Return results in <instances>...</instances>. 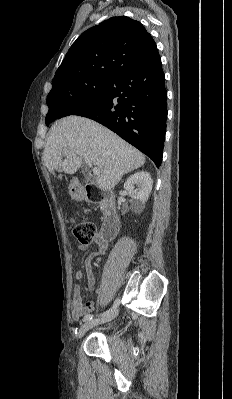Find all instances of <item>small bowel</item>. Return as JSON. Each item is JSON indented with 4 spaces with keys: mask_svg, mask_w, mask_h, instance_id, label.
I'll list each match as a JSON object with an SVG mask.
<instances>
[{
    "mask_svg": "<svg viewBox=\"0 0 232 399\" xmlns=\"http://www.w3.org/2000/svg\"><path fill=\"white\" fill-rule=\"evenodd\" d=\"M110 246L109 242H100L98 244V250L96 252H92L88 255L87 260L88 261H92L95 260L97 258H100L104 252L106 251V249H108ZM80 249L81 250H87L89 247V243L88 242H81L80 243ZM83 264H80V268L77 271V276L79 278H83L84 277V269H83ZM87 288L88 290H91L94 284V278H93V274L90 270V268L88 267L87 270ZM94 306L92 303L87 302V303H83L82 302V297H81V293H80V288L78 285L74 286L73 289V294L70 300V308H69V317H70V321L75 324L78 327H82V324H80L79 322V318L84 315L85 313L93 310ZM121 327L125 328V329H135L138 327V323L137 322H133V321H128V322H124L121 324ZM94 328H97L99 330H102L103 327H98V326H94Z\"/></svg>",
    "mask_w": 232,
    "mask_h": 399,
    "instance_id": "c3829d8e",
    "label": "small bowel"
}]
</instances>
